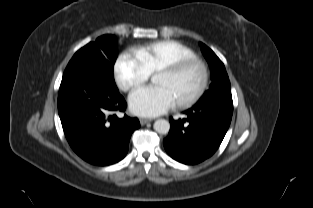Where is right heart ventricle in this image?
<instances>
[{
	"label": "right heart ventricle",
	"mask_w": 313,
	"mask_h": 208,
	"mask_svg": "<svg viewBox=\"0 0 313 208\" xmlns=\"http://www.w3.org/2000/svg\"><path fill=\"white\" fill-rule=\"evenodd\" d=\"M135 53L149 73H155L179 59L195 57L191 48L175 40L155 41L136 48Z\"/></svg>",
	"instance_id": "obj_1"
}]
</instances>
